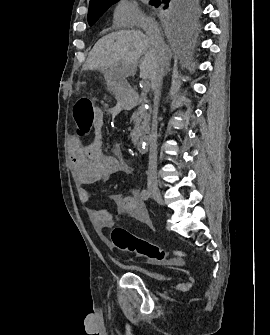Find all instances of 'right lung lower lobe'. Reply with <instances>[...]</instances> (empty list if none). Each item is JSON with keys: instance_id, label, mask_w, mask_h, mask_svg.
<instances>
[{"instance_id": "obj_1", "label": "right lung lower lobe", "mask_w": 270, "mask_h": 335, "mask_svg": "<svg viewBox=\"0 0 270 335\" xmlns=\"http://www.w3.org/2000/svg\"><path fill=\"white\" fill-rule=\"evenodd\" d=\"M162 3L165 2L164 4L166 5L168 3V0H160ZM173 1H169V4H171ZM161 5V4H160Z\"/></svg>"}]
</instances>
